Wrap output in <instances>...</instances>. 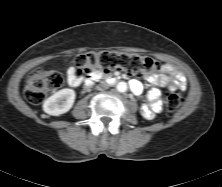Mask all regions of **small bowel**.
Instances as JSON below:
<instances>
[{
	"mask_svg": "<svg viewBox=\"0 0 222 187\" xmlns=\"http://www.w3.org/2000/svg\"><path fill=\"white\" fill-rule=\"evenodd\" d=\"M145 80L153 86L146 94L147 102L141 106V114L146 120H153L162 110L159 87L181 90L187 87L185 76L175 70L170 64L161 65L159 73L146 75ZM67 82L72 87H77L82 83V78L73 67L67 69ZM131 90L135 95H140L143 92V86L139 81L133 80L131 82Z\"/></svg>",
	"mask_w": 222,
	"mask_h": 187,
	"instance_id": "obj_1",
	"label": "small bowel"
}]
</instances>
